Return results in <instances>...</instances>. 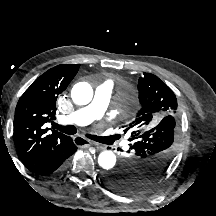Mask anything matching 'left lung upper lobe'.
Listing matches in <instances>:
<instances>
[{"label": "left lung upper lobe", "instance_id": "5c2ea615", "mask_svg": "<svg viewBox=\"0 0 216 216\" xmlns=\"http://www.w3.org/2000/svg\"><path fill=\"white\" fill-rule=\"evenodd\" d=\"M140 110L129 128L128 155L106 174L105 182L122 194L140 192L169 167L181 138V108L173 91L157 76L138 81Z\"/></svg>", "mask_w": 216, "mask_h": 216}]
</instances>
